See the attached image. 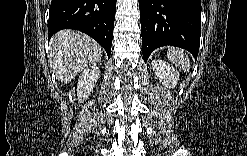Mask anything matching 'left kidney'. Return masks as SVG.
Segmentation results:
<instances>
[{
    "mask_svg": "<svg viewBox=\"0 0 247 156\" xmlns=\"http://www.w3.org/2000/svg\"><path fill=\"white\" fill-rule=\"evenodd\" d=\"M151 64L160 82L166 87L175 88L179 80V72L172 65L160 59H153Z\"/></svg>",
    "mask_w": 247,
    "mask_h": 156,
    "instance_id": "obj_1",
    "label": "left kidney"
}]
</instances>
